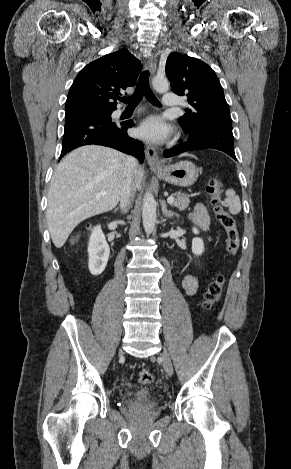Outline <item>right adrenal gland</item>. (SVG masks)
<instances>
[{
  "label": "right adrenal gland",
  "instance_id": "right-adrenal-gland-1",
  "mask_svg": "<svg viewBox=\"0 0 291 469\" xmlns=\"http://www.w3.org/2000/svg\"><path fill=\"white\" fill-rule=\"evenodd\" d=\"M116 211H118V208H117V209H115V212H116Z\"/></svg>",
  "mask_w": 291,
  "mask_h": 469
}]
</instances>
